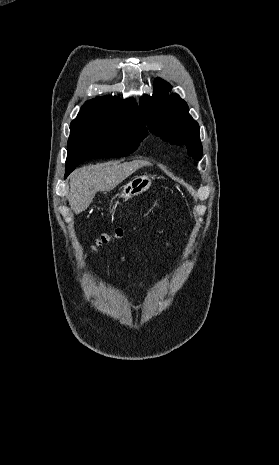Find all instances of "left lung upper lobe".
<instances>
[{"instance_id": "obj_1", "label": "left lung upper lobe", "mask_w": 279, "mask_h": 465, "mask_svg": "<svg viewBox=\"0 0 279 465\" xmlns=\"http://www.w3.org/2000/svg\"><path fill=\"white\" fill-rule=\"evenodd\" d=\"M171 86L157 78L154 94L140 100V107L149 130L164 141L186 145L187 152L196 160L202 157V144L198 123L188 113L189 109L179 95H168Z\"/></svg>"}]
</instances>
